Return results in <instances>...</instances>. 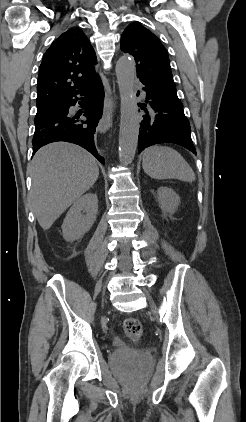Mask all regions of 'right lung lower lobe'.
<instances>
[{
	"label": "right lung lower lobe",
	"instance_id": "obj_1",
	"mask_svg": "<svg viewBox=\"0 0 246 422\" xmlns=\"http://www.w3.org/2000/svg\"><path fill=\"white\" fill-rule=\"evenodd\" d=\"M83 104L80 114L86 120H80L79 115H71L69 108L74 106L79 98ZM104 90L99 75L83 90L65 97L46 108L48 114L36 118L35 133L32 140L33 154L51 142L67 141L78 144L92 153L102 164L105 163L94 144L96 126L103 113Z\"/></svg>",
	"mask_w": 246,
	"mask_h": 422
}]
</instances>
